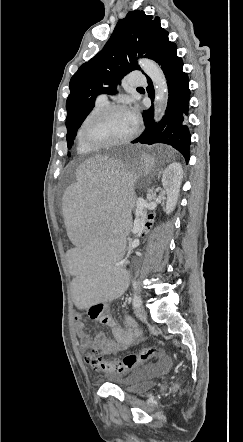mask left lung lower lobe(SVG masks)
<instances>
[{
	"mask_svg": "<svg viewBox=\"0 0 243 442\" xmlns=\"http://www.w3.org/2000/svg\"><path fill=\"white\" fill-rule=\"evenodd\" d=\"M153 60L161 65L166 76L169 98L165 115L159 123L154 122V105L144 111L145 130L132 143L155 144L164 143L177 149L189 161L191 135L184 123L188 113L190 98L189 79L183 72V61L177 56V46L166 37ZM147 92L152 102L154 88L150 78H147Z\"/></svg>",
	"mask_w": 243,
	"mask_h": 442,
	"instance_id": "left-lung-lower-lobe-1",
	"label": "left lung lower lobe"
}]
</instances>
